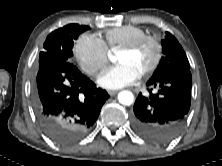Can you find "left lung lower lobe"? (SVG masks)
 Segmentation results:
<instances>
[{
	"label": "left lung lower lobe",
	"instance_id": "1",
	"mask_svg": "<svg viewBox=\"0 0 222 166\" xmlns=\"http://www.w3.org/2000/svg\"><path fill=\"white\" fill-rule=\"evenodd\" d=\"M147 86L149 94L140 93L134 104L133 129L151 143H168L179 135L186 122L191 104V72L153 76Z\"/></svg>",
	"mask_w": 222,
	"mask_h": 166
}]
</instances>
